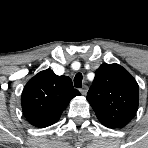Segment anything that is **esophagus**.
Masks as SVG:
<instances>
[{"label":"esophagus","mask_w":148,"mask_h":148,"mask_svg":"<svg viewBox=\"0 0 148 148\" xmlns=\"http://www.w3.org/2000/svg\"><path fill=\"white\" fill-rule=\"evenodd\" d=\"M87 90H88V87L86 85H84L81 89H80V92L82 95H86L87 94Z\"/></svg>","instance_id":"34e87169"}]
</instances>
